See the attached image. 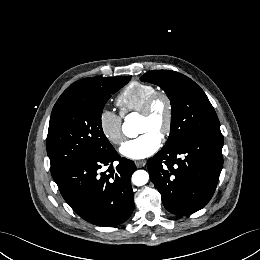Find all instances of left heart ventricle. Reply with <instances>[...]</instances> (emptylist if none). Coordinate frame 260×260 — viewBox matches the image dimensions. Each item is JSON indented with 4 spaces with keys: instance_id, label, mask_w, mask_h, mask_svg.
Listing matches in <instances>:
<instances>
[{
    "instance_id": "left-heart-ventricle-1",
    "label": "left heart ventricle",
    "mask_w": 260,
    "mask_h": 260,
    "mask_svg": "<svg viewBox=\"0 0 260 260\" xmlns=\"http://www.w3.org/2000/svg\"><path fill=\"white\" fill-rule=\"evenodd\" d=\"M166 118V104L164 100L158 99L153 105L152 112L149 116L140 115L139 133L152 131L160 135Z\"/></svg>"
}]
</instances>
